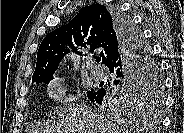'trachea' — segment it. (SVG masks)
Masks as SVG:
<instances>
[{"instance_id":"3493384b","label":"trachea","mask_w":184,"mask_h":133,"mask_svg":"<svg viewBox=\"0 0 184 133\" xmlns=\"http://www.w3.org/2000/svg\"><path fill=\"white\" fill-rule=\"evenodd\" d=\"M95 60H96L97 63H100L101 58L100 57H96Z\"/></svg>"}]
</instances>
